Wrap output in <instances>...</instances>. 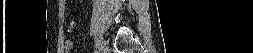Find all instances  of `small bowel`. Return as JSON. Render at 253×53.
Wrapping results in <instances>:
<instances>
[{
	"label": "small bowel",
	"mask_w": 253,
	"mask_h": 53,
	"mask_svg": "<svg viewBox=\"0 0 253 53\" xmlns=\"http://www.w3.org/2000/svg\"><path fill=\"white\" fill-rule=\"evenodd\" d=\"M73 29H74V23H71V24L66 28V30H67L68 32H69V31H72ZM64 45H65V48H66V49H71L72 46H73V43H72L71 40H66L65 43H64Z\"/></svg>",
	"instance_id": "small-bowel-1"
}]
</instances>
